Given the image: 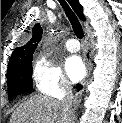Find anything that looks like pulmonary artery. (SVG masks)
Returning <instances> with one entry per match:
<instances>
[{"label":"pulmonary artery","mask_w":122,"mask_h":123,"mask_svg":"<svg viewBox=\"0 0 122 123\" xmlns=\"http://www.w3.org/2000/svg\"><path fill=\"white\" fill-rule=\"evenodd\" d=\"M66 48L70 52H78L80 49V44L77 39L70 38L66 42Z\"/></svg>","instance_id":"e3ab8cb5"}]
</instances>
